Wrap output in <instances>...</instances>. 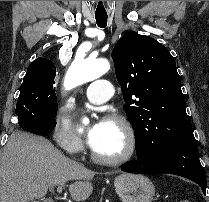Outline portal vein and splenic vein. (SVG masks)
I'll use <instances>...</instances> for the list:
<instances>
[{
	"mask_svg": "<svg viewBox=\"0 0 209 202\" xmlns=\"http://www.w3.org/2000/svg\"><path fill=\"white\" fill-rule=\"evenodd\" d=\"M57 192H58V193H61V192H62V185H58V186H57Z\"/></svg>",
	"mask_w": 209,
	"mask_h": 202,
	"instance_id": "obj_1",
	"label": "portal vein and splenic vein"
}]
</instances>
